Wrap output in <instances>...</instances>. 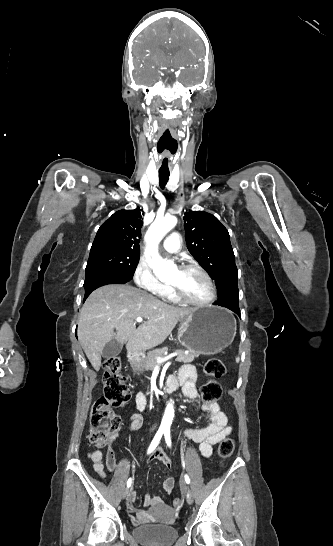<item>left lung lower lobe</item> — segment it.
I'll return each instance as SVG.
<instances>
[{"label": "left lung lower lobe", "instance_id": "left-lung-lower-lobe-1", "mask_svg": "<svg viewBox=\"0 0 333 546\" xmlns=\"http://www.w3.org/2000/svg\"><path fill=\"white\" fill-rule=\"evenodd\" d=\"M214 305L226 307L236 313L238 316H240L238 289L232 291L230 293V297L224 298L221 301L217 300L216 302H214Z\"/></svg>", "mask_w": 333, "mask_h": 546}]
</instances>
